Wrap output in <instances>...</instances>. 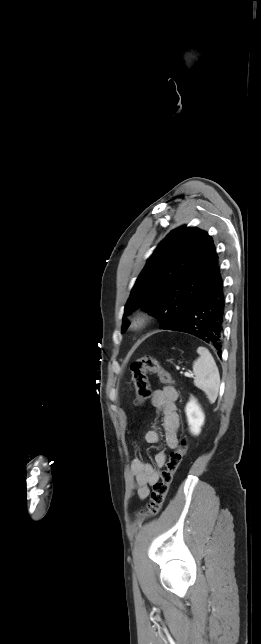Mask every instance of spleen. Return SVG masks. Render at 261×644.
<instances>
[{
	"instance_id": "obj_1",
	"label": "spleen",
	"mask_w": 261,
	"mask_h": 644,
	"mask_svg": "<svg viewBox=\"0 0 261 644\" xmlns=\"http://www.w3.org/2000/svg\"><path fill=\"white\" fill-rule=\"evenodd\" d=\"M199 358L193 363L194 385L205 392L210 403L217 399L220 375L211 353L205 347H198Z\"/></svg>"
}]
</instances>
